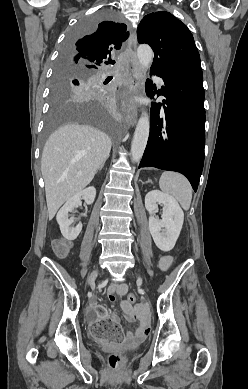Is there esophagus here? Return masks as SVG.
Masks as SVG:
<instances>
[{
    "label": "esophagus",
    "mask_w": 248,
    "mask_h": 389,
    "mask_svg": "<svg viewBox=\"0 0 248 389\" xmlns=\"http://www.w3.org/2000/svg\"><path fill=\"white\" fill-rule=\"evenodd\" d=\"M136 46H137V36L136 31H131L130 38L127 44V53L131 57V61L133 64V77L129 86L127 87V94L134 95L140 92V85L142 80V73L138 66V62L136 60ZM125 108V121L128 127L134 126L137 118H138V104L137 102L127 98L124 104Z\"/></svg>",
    "instance_id": "34e87169"
}]
</instances>
